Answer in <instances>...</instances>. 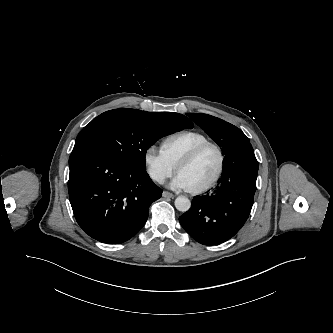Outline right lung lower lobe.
Listing matches in <instances>:
<instances>
[{
    "mask_svg": "<svg viewBox=\"0 0 333 333\" xmlns=\"http://www.w3.org/2000/svg\"><path fill=\"white\" fill-rule=\"evenodd\" d=\"M69 167V198L76 221L103 243L132 238L146 223L151 203L162 194L145 170L132 169L93 147L74 148Z\"/></svg>",
    "mask_w": 333,
    "mask_h": 333,
    "instance_id": "98d812e1",
    "label": "right lung lower lobe"
}]
</instances>
